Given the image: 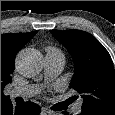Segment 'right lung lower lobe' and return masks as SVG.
Returning <instances> with one entry per match:
<instances>
[{"label": "right lung lower lobe", "instance_id": "98d812e1", "mask_svg": "<svg viewBox=\"0 0 115 115\" xmlns=\"http://www.w3.org/2000/svg\"><path fill=\"white\" fill-rule=\"evenodd\" d=\"M40 111L39 105L30 101L17 106H13L11 100L1 104V115H37Z\"/></svg>", "mask_w": 115, "mask_h": 115}]
</instances>
